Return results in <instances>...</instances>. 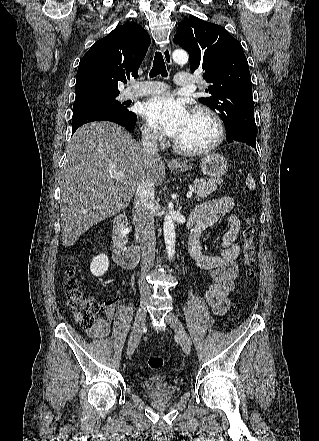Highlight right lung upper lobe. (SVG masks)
Here are the masks:
<instances>
[{
	"instance_id": "cb5924a9",
	"label": "right lung upper lobe",
	"mask_w": 319,
	"mask_h": 441,
	"mask_svg": "<svg viewBox=\"0 0 319 441\" xmlns=\"http://www.w3.org/2000/svg\"><path fill=\"white\" fill-rule=\"evenodd\" d=\"M150 42L148 33L134 22L95 42L80 60L75 100L119 95L118 81L138 77Z\"/></svg>"
}]
</instances>
